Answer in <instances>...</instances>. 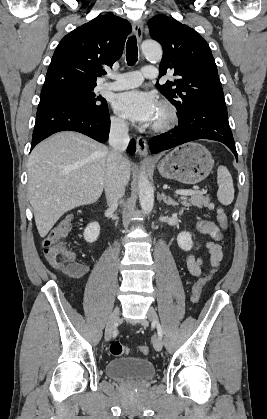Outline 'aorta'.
<instances>
[{"mask_svg": "<svg viewBox=\"0 0 267 419\" xmlns=\"http://www.w3.org/2000/svg\"><path fill=\"white\" fill-rule=\"evenodd\" d=\"M141 48L146 59L154 62L161 60L162 48L157 42L145 41ZM138 192L141 208L144 213L149 214L154 205V190L144 173L139 178Z\"/></svg>", "mask_w": 267, "mask_h": 419, "instance_id": "1", "label": "aorta"}]
</instances>
